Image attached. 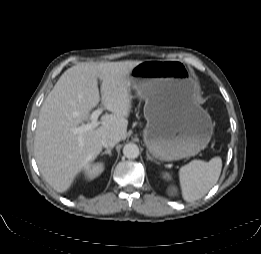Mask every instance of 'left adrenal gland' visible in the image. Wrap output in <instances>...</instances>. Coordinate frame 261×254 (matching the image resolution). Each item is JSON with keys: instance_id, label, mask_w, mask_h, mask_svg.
<instances>
[{"instance_id": "a2214340", "label": "left adrenal gland", "mask_w": 261, "mask_h": 254, "mask_svg": "<svg viewBox=\"0 0 261 254\" xmlns=\"http://www.w3.org/2000/svg\"><path fill=\"white\" fill-rule=\"evenodd\" d=\"M146 155H147V160H150V161H155L148 152H146Z\"/></svg>"}]
</instances>
